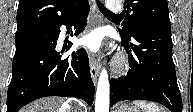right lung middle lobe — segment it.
<instances>
[{
    "label": "right lung middle lobe",
    "instance_id": "1",
    "mask_svg": "<svg viewBox=\"0 0 193 112\" xmlns=\"http://www.w3.org/2000/svg\"><path fill=\"white\" fill-rule=\"evenodd\" d=\"M45 28H37V29H30V30H24V31H19L16 32L15 34V43L19 42L23 39H26L32 35H35L39 33L40 31L44 30Z\"/></svg>",
    "mask_w": 193,
    "mask_h": 112
}]
</instances>
